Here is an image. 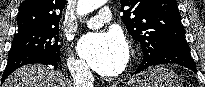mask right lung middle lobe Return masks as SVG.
<instances>
[{"mask_svg":"<svg viewBox=\"0 0 205 87\" xmlns=\"http://www.w3.org/2000/svg\"><path fill=\"white\" fill-rule=\"evenodd\" d=\"M58 40V28L19 31L13 39L9 54L29 52L60 61Z\"/></svg>","mask_w":205,"mask_h":87,"instance_id":"dd1d6c3e","label":"right lung middle lobe"}]
</instances>
